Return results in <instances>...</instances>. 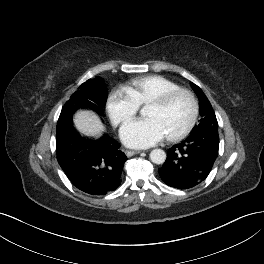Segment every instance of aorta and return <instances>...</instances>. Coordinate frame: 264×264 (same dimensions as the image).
Masks as SVG:
<instances>
[{
    "label": "aorta",
    "instance_id": "aorta-1",
    "mask_svg": "<svg viewBox=\"0 0 264 264\" xmlns=\"http://www.w3.org/2000/svg\"><path fill=\"white\" fill-rule=\"evenodd\" d=\"M150 160L155 164H163L166 160V153L162 149H154L150 152Z\"/></svg>",
    "mask_w": 264,
    "mask_h": 264
}]
</instances>
